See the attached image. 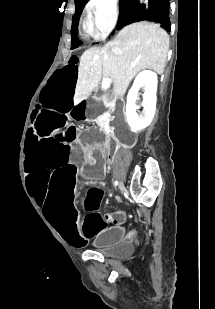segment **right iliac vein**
Here are the masks:
<instances>
[{"mask_svg": "<svg viewBox=\"0 0 215 309\" xmlns=\"http://www.w3.org/2000/svg\"><path fill=\"white\" fill-rule=\"evenodd\" d=\"M119 188H120L121 191L124 190V185H123V183H120V184H119Z\"/></svg>", "mask_w": 215, "mask_h": 309, "instance_id": "63e3f726", "label": "right iliac vein"}]
</instances>
